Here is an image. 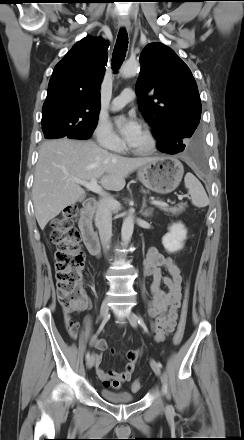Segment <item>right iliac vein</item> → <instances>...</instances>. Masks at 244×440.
Instances as JSON below:
<instances>
[{"label":"right iliac vein","instance_id":"right-iliac-vein-1","mask_svg":"<svg viewBox=\"0 0 244 440\" xmlns=\"http://www.w3.org/2000/svg\"><path fill=\"white\" fill-rule=\"evenodd\" d=\"M108 312H109L108 300H104L100 308L101 318L105 319L108 316ZM93 366H94V359L93 356H91L87 361V368L91 369Z\"/></svg>","mask_w":244,"mask_h":440}]
</instances>
